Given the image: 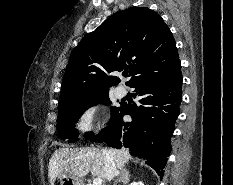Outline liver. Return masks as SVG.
<instances>
[{
	"instance_id": "1",
	"label": "liver",
	"mask_w": 233,
	"mask_h": 185,
	"mask_svg": "<svg viewBox=\"0 0 233 185\" xmlns=\"http://www.w3.org/2000/svg\"><path fill=\"white\" fill-rule=\"evenodd\" d=\"M111 154L117 168L122 169L131 159L130 154L124 149L105 150ZM89 172L93 177L105 178L103 150L98 148L69 149L59 148L56 150L48 166V177L51 185L62 174H70L77 178H83Z\"/></svg>"
}]
</instances>
